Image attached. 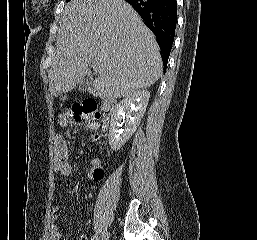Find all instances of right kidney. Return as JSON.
Segmentation results:
<instances>
[{
  "mask_svg": "<svg viewBox=\"0 0 257 240\" xmlns=\"http://www.w3.org/2000/svg\"><path fill=\"white\" fill-rule=\"evenodd\" d=\"M149 98V91L139 90L117 104L111 117L108 134L109 144L113 150H119L134 134L146 111ZM122 119L124 129H120L119 122Z\"/></svg>",
  "mask_w": 257,
  "mask_h": 240,
  "instance_id": "obj_1",
  "label": "right kidney"
}]
</instances>
